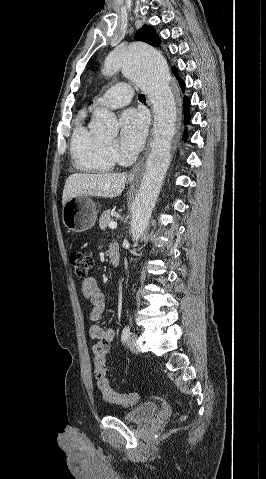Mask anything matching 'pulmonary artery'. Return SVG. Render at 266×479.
Masks as SVG:
<instances>
[{
	"label": "pulmonary artery",
	"instance_id": "obj_1",
	"mask_svg": "<svg viewBox=\"0 0 266 479\" xmlns=\"http://www.w3.org/2000/svg\"><path fill=\"white\" fill-rule=\"evenodd\" d=\"M133 96V89L127 83H117L97 97L92 107L120 108L127 105Z\"/></svg>",
	"mask_w": 266,
	"mask_h": 479
}]
</instances>
